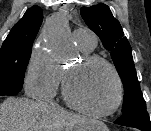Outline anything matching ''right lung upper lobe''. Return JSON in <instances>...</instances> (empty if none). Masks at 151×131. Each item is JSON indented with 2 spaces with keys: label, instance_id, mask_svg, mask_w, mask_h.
I'll return each mask as SVG.
<instances>
[{
  "label": "right lung upper lobe",
  "instance_id": "obj_1",
  "mask_svg": "<svg viewBox=\"0 0 151 131\" xmlns=\"http://www.w3.org/2000/svg\"><path fill=\"white\" fill-rule=\"evenodd\" d=\"M43 20L42 10L38 6L29 8L24 16L11 29L2 46L32 45Z\"/></svg>",
  "mask_w": 151,
  "mask_h": 131
}]
</instances>
